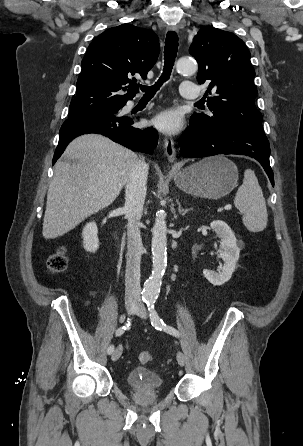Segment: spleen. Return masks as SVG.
I'll list each match as a JSON object with an SVG mask.
<instances>
[{
    "label": "spleen",
    "mask_w": 303,
    "mask_h": 446,
    "mask_svg": "<svg viewBox=\"0 0 303 446\" xmlns=\"http://www.w3.org/2000/svg\"><path fill=\"white\" fill-rule=\"evenodd\" d=\"M234 204L243 215V224L249 231L260 232L266 228L268 214L265 198L251 169L244 172L243 184L238 188Z\"/></svg>",
    "instance_id": "obj_1"
}]
</instances>
